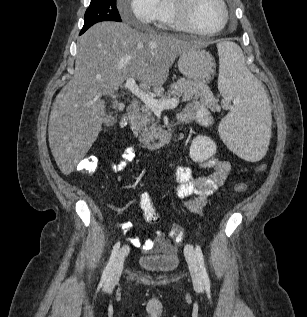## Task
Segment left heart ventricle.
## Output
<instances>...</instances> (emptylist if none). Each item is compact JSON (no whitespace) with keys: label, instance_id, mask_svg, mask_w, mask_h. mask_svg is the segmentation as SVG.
Masks as SVG:
<instances>
[{"label":"left heart ventricle","instance_id":"1","mask_svg":"<svg viewBox=\"0 0 307 317\" xmlns=\"http://www.w3.org/2000/svg\"><path fill=\"white\" fill-rule=\"evenodd\" d=\"M191 17L197 28L211 31L222 22V8L217 0H195Z\"/></svg>","mask_w":307,"mask_h":317}]
</instances>
